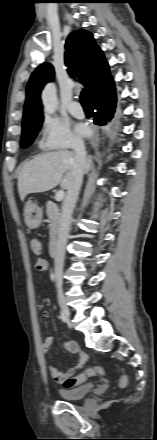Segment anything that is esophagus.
<instances>
[{"mask_svg": "<svg viewBox=\"0 0 157 440\" xmlns=\"http://www.w3.org/2000/svg\"><path fill=\"white\" fill-rule=\"evenodd\" d=\"M97 137H98V131L95 128H93V135H92V138L90 140V143H91L92 146L96 145Z\"/></svg>", "mask_w": 157, "mask_h": 440, "instance_id": "34e87169", "label": "esophagus"}]
</instances>
